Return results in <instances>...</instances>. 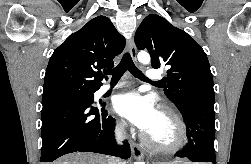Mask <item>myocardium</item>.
I'll use <instances>...</instances> for the list:
<instances>
[{
	"instance_id": "obj_1",
	"label": "myocardium",
	"mask_w": 251,
	"mask_h": 164,
	"mask_svg": "<svg viewBox=\"0 0 251 164\" xmlns=\"http://www.w3.org/2000/svg\"><path fill=\"white\" fill-rule=\"evenodd\" d=\"M159 114L170 121L174 130L173 139L165 144H159L153 141L148 133L143 138L144 145L151 151L156 153H173L181 149L187 139V130L181 115L171 106L163 105Z\"/></svg>"
}]
</instances>
